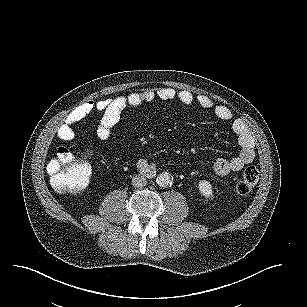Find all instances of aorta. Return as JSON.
<instances>
[{"mask_svg":"<svg viewBox=\"0 0 307 307\" xmlns=\"http://www.w3.org/2000/svg\"><path fill=\"white\" fill-rule=\"evenodd\" d=\"M155 182L157 183L158 186L166 188L172 185L173 179L169 173L163 172L157 176Z\"/></svg>","mask_w":307,"mask_h":307,"instance_id":"762f6f07","label":"aorta"}]
</instances>
